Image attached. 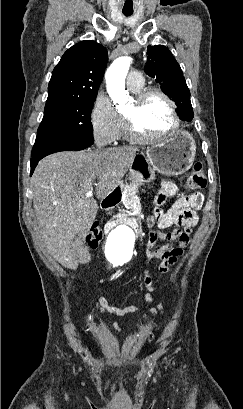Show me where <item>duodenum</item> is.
Returning a JSON list of instances; mask_svg holds the SVG:
<instances>
[{
  "instance_id": "410a0bca",
  "label": "duodenum",
  "mask_w": 243,
  "mask_h": 409,
  "mask_svg": "<svg viewBox=\"0 0 243 409\" xmlns=\"http://www.w3.org/2000/svg\"><path fill=\"white\" fill-rule=\"evenodd\" d=\"M121 199V193L118 189H114L112 192H110L101 202V207L103 209H111L113 207H115ZM121 223L127 224L128 226H130L131 228H133L134 230L137 229V223L136 221L132 220V219H128L125 221H121ZM115 225L114 222L109 223L106 226V230L109 231L111 228H113V226Z\"/></svg>"
}]
</instances>
